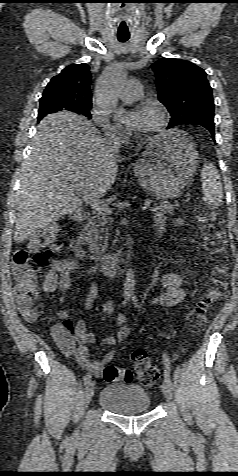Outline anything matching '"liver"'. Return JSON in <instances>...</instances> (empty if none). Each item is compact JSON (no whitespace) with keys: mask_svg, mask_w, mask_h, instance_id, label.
I'll list each match as a JSON object with an SVG mask.
<instances>
[{"mask_svg":"<svg viewBox=\"0 0 238 476\" xmlns=\"http://www.w3.org/2000/svg\"><path fill=\"white\" fill-rule=\"evenodd\" d=\"M37 129L31 155L22 165L14 232L17 243L80 209L82 200L68 181H82L93 195H105L115 182L120 161L83 116L50 114Z\"/></svg>","mask_w":238,"mask_h":476,"instance_id":"6515ba94","label":"liver"}]
</instances>
